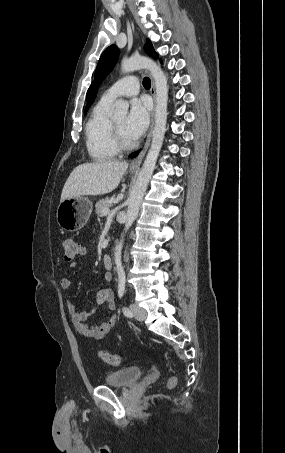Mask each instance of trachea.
<instances>
[{"instance_id":"3493384b","label":"trachea","mask_w":285,"mask_h":453,"mask_svg":"<svg viewBox=\"0 0 285 453\" xmlns=\"http://www.w3.org/2000/svg\"><path fill=\"white\" fill-rule=\"evenodd\" d=\"M143 86H144L145 88H150V78L145 77V78L143 79Z\"/></svg>"}]
</instances>
